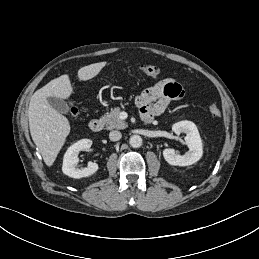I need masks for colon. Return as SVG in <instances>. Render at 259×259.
<instances>
[{"label":"colon","mask_w":259,"mask_h":259,"mask_svg":"<svg viewBox=\"0 0 259 259\" xmlns=\"http://www.w3.org/2000/svg\"><path fill=\"white\" fill-rule=\"evenodd\" d=\"M137 70L141 74L151 76V77H155V76L159 75V73H160V69L155 65L144 64V65L139 66L137 68ZM208 109H209L210 114L214 117H218L221 114L219 107L215 104H211ZM68 111H69V114L71 117H76L78 114V110L73 104L69 105Z\"/></svg>","instance_id":"5ec220e1"}]
</instances>
